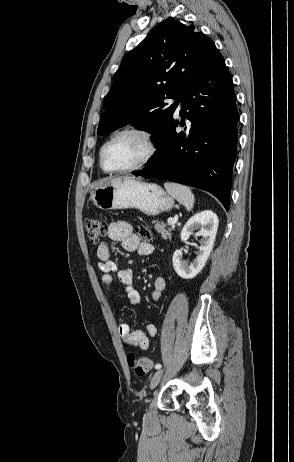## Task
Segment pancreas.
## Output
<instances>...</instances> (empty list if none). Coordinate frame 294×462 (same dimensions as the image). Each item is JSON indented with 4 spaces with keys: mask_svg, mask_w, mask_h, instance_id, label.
<instances>
[{
    "mask_svg": "<svg viewBox=\"0 0 294 462\" xmlns=\"http://www.w3.org/2000/svg\"><path fill=\"white\" fill-rule=\"evenodd\" d=\"M153 223L155 224V229L157 230V232L161 233L163 238H167V237L171 238L172 228L166 229V225L164 223H160L157 221H153Z\"/></svg>",
    "mask_w": 294,
    "mask_h": 462,
    "instance_id": "1",
    "label": "pancreas"
}]
</instances>
